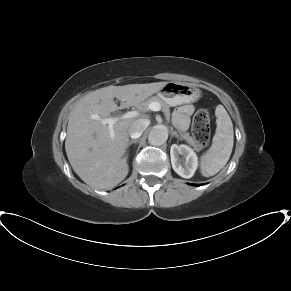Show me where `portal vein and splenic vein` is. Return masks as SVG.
<instances>
[{
    "label": "portal vein and splenic vein",
    "mask_w": 291,
    "mask_h": 291,
    "mask_svg": "<svg viewBox=\"0 0 291 291\" xmlns=\"http://www.w3.org/2000/svg\"><path fill=\"white\" fill-rule=\"evenodd\" d=\"M148 109L152 111H160L161 105L158 102H152L149 104ZM138 115H139L138 111H130V112L124 113L123 115L119 117L104 118V119H100V121L102 124L108 125L110 137L114 138L115 134H114L113 126L115 123L124 119L137 117ZM94 118H98V116H94Z\"/></svg>",
    "instance_id": "obj_1"
}]
</instances>
